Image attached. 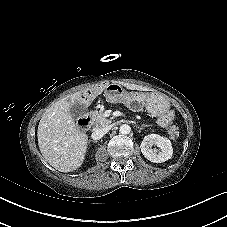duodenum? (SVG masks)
Masks as SVG:
<instances>
[{
    "label": "duodenum",
    "instance_id": "1",
    "mask_svg": "<svg viewBox=\"0 0 227 227\" xmlns=\"http://www.w3.org/2000/svg\"><path fill=\"white\" fill-rule=\"evenodd\" d=\"M79 127L82 129H87L91 126V120L88 115L81 117L78 121Z\"/></svg>",
    "mask_w": 227,
    "mask_h": 227
}]
</instances>
